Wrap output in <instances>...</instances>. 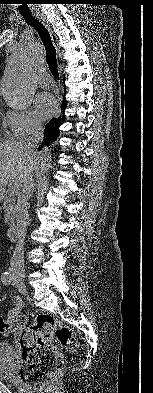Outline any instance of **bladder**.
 Returning a JSON list of instances; mask_svg holds the SVG:
<instances>
[{"mask_svg": "<svg viewBox=\"0 0 153 393\" xmlns=\"http://www.w3.org/2000/svg\"><path fill=\"white\" fill-rule=\"evenodd\" d=\"M14 352L10 345H0V380L15 382Z\"/></svg>", "mask_w": 153, "mask_h": 393, "instance_id": "bladder-1", "label": "bladder"}]
</instances>
